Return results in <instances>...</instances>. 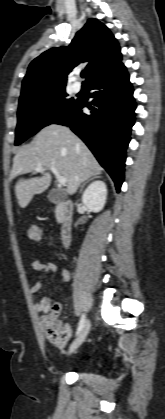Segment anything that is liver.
<instances>
[{
  "label": "liver",
  "mask_w": 165,
  "mask_h": 419,
  "mask_svg": "<svg viewBox=\"0 0 165 419\" xmlns=\"http://www.w3.org/2000/svg\"><path fill=\"white\" fill-rule=\"evenodd\" d=\"M43 170L40 177L19 179L15 192L19 206L25 208L35 194L44 192L51 183L50 167H55L66 178V191L76 192L82 182L101 174L102 167L86 146L69 128L52 124L43 128L33 141L20 150L13 159L10 179L34 171Z\"/></svg>",
  "instance_id": "obj_1"
}]
</instances>
